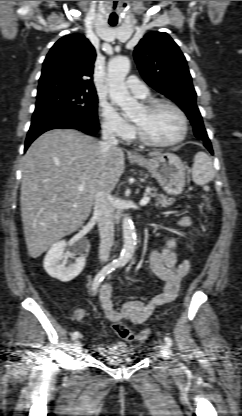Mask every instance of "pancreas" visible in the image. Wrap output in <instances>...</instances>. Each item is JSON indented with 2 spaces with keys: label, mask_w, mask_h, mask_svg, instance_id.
I'll use <instances>...</instances> for the list:
<instances>
[{
  "label": "pancreas",
  "mask_w": 242,
  "mask_h": 416,
  "mask_svg": "<svg viewBox=\"0 0 242 416\" xmlns=\"http://www.w3.org/2000/svg\"><path fill=\"white\" fill-rule=\"evenodd\" d=\"M146 196L155 198L154 205L156 207L166 208V207L172 205L175 202L174 198H168V197H166L162 194H158L156 191H154L152 193L151 192L146 193Z\"/></svg>",
  "instance_id": "pancreas-1"
}]
</instances>
